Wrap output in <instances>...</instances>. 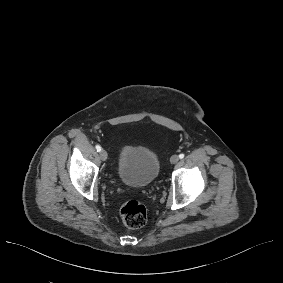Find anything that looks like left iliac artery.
I'll list each match as a JSON object with an SVG mask.
<instances>
[{
    "label": "left iliac artery",
    "mask_w": 283,
    "mask_h": 283,
    "mask_svg": "<svg viewBox=\"0 0 283 283\" xmlns=\"http://www.w3.org/2000/svg\"><path fill=\"white\" fill-rule=\"evenodd\" d=\"M184 156H185V155H184L183 153H181V154L179 155V158H180V159H183Z\"/></svg>",
    "instance_id": "left-iliac-artery-1"
}]
</instances>
